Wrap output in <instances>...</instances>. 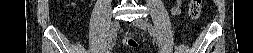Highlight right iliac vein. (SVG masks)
Instances as JSON below:
<instances>
[{
    "label": "right iliac vein",
    "instance_id": "right-iliac-vein-1",
    "mask_svg": "<svg viewBox=\"0 0 253 53\" xmlns=\"http://www.w3.org/2000/svg\"><path fill=\"white\" fill-rule=\"evenodd\" d=\"M119 26H120V24H119L118 20H114L112 22L111 30H110V33H109V39H108V40L111 41V43L114 40V38L116 37V35H117V31L119 29Z\"/></svg>",
    "mask_w": 253,
    "mask_h": 53
}]
</instances>
